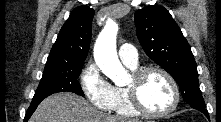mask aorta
<instances>
[{
	"instance_id": "obj_1",
	"label": "aorta",
	"mask_w": 221,
	"mask_h": 122,
	"mask_svg": "<svg viewBox=\"0 0 221 122\" xmlns=\"http://www.w3.org/2000/svg\"><path fill=\"white\" fill-rule=\"evenodd\" d=\"M118 26L108 22L99 34L94 46L95 62L100 70L116 85L127 81V71L120 63L116 52V36Z\"/></svg>"
}]
</instances>
